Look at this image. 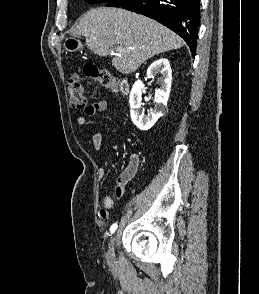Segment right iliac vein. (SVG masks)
<instances>
[{
	"label": "right iliac vein",
	"mask_w": 259,
	"mask_h": 294,
	"mask_svg": "<svg viewBox=\"0 0 259 294\" xmlns=\"http://www.w3.org/2000/svg\"><path fill=\"white\" fill-rule=\"evenodd\" d=\"M114 244H115V235L111 238V241L109 243V249L107 253L108 259L111 261L114 256Z\"/></svg>",
	"instance_id": "obj_1"
}]
</instances>
